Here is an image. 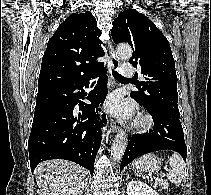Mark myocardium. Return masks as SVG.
<instances>
[{
	"instance_id": "myocardium-1",
	"label": "myocardium",
	"mask_w": 211,
	"mask_h": 195,
	"mask_svg": "<svg viewBox=\"0 0 211 195\" xmlns=\"http://www.w3.org/2000/svg\"><path fill=\"white\" fill-rule=\"evenodd\" d=\"M154 126V119L149 113H141L134 121V128L139 132H147Z\"/></svg>"
}]
</instances>
